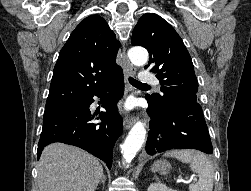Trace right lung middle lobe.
<instances>
[{
  "instance_id": "dd1d6c3e",
  "label": "right lung middle lobe",
  "mask_w": 251,
  "mask_h": 191,
  "mask_svg": "<svg viewBox=\"0 0 251 191\" xmlns=\"http://www.w3.org/2000/svg\"><path fill=\"white\" fill-rule=\"evenodd\" d=\"M80 105H81V103H75V104L67 105V106H64V107H59V108H56V109H48V110L44 111V117L49 116V115L54 114V113H57V112L64 111V110L79 107Z\"/></svg>"
}]
</instances>
